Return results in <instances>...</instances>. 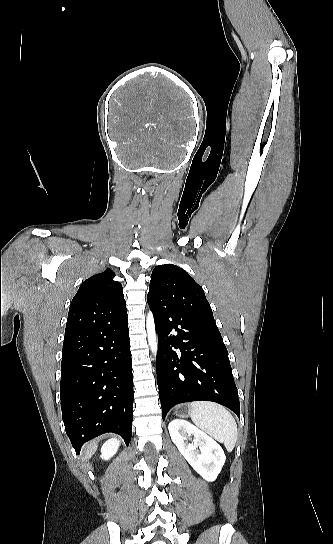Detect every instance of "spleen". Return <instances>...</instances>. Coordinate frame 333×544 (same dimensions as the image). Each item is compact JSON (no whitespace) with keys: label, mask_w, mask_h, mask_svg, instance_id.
Masks as SVG:
<instances>
[{"label":"spleen","mask_w":333,"mask_h":544,"mask_svg":"<svg viewBox=\"0 0 333 544\" xmlns=\"http://www.w3.org/2000/svg\"><path fill=\"white\" fill-rule=\"evenodd\" d=\"M191 420L231 452L236 444L238 429L232 414L220 404L196 401L189 404Z\"/></svg>","instance_id":"1"}]
</instances>
